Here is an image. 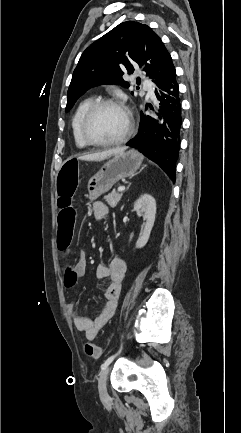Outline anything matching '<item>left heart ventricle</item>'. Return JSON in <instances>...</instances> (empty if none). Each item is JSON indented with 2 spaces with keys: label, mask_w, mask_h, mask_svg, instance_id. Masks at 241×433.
I'll return each mask as SVG.
<instances>
[{
  "label": "left heart ventricle",
  "mask_w": 241,
  "mask_h": 433,
  "mask_svg": "<svg viewBox=\"0 0 241 433\" xmlns=\"http://www.w3.org/2000/svg\"><path fill=\"white\" fill-rule=\"evenodd\" d=\"M127 126L124 111L116 106L100 108L89 124L90 135L100 141H111L120 137Z\"/></svg>",
  "instance_id": "1"
}]
</instances>
